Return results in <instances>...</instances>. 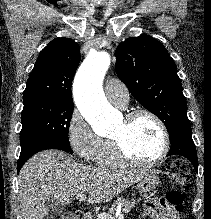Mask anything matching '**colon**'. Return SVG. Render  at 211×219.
Masks as SVG:
<instances>
[{
    "mask_svg": "<svg viewBox=\"0 0 211 219\" xmlns=\"http://www.w3.org/2000/svg\"><path fill=\"white\" fill-rule=\"evenodd\" d=\"M187 174L188 166L181 159L174 160L167 168L168 180L174 188L167 192L166 201L177 214L183 211L186 198V186L184 182ZM77 217L78 213H69L68 215L50 216L47 219H76Z\"/></svg>",
    "mask_w": 211,
    "mask_h": 219,
    "instance_id": "obj_1",
    "label": "colon"
}]
</instances>
